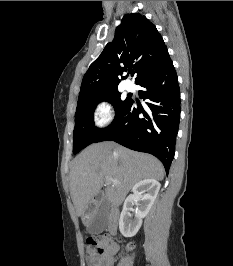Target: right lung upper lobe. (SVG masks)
I'll return each instance as SVG.
<instances>
[{"instance_id": "obj_1", "label": "right lung upper lobe", "mask_w": 233, "mask_h": 266, "mask_svg": "<svg viewBox=\"0 0 233 266\" xmlns=\"http://www.w3.org/2000/svg\"><path fill=\"white\" fill-rule=\"evenodd\" d=\"M168 57L167 47L154 24L143 15L126 14L116 28L113 42L105 46L84 75L78 100L117 89L119 76L127 68H133L138 83Z\"/></svg>"}]
</instances>
